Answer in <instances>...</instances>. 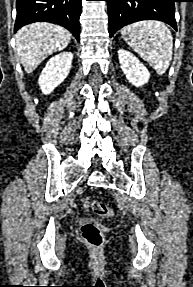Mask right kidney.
<instances>
[{
  "label": "right kidney",
  "mask_w": 193,
  "mask_h": 287,
  "mask_svg": "<svg viewBox=\"0 0 193 287\" xmlns=\"http://www.w3.org/2000/svg\"><path fill=\"white\" fill-rule=\"evenodd\" d=\"M73 54L63 52L52 57L42 70L39 77V86L43 94H50L68 76Z\"/></svg>",
  "instance_id": "obj_1"
}]
</instances>
